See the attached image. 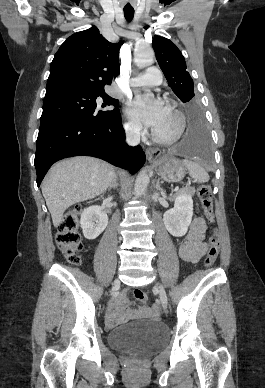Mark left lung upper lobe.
Instances as JSON below:
<instances>
[{"label":"left lung upper lobe","instance_id":"obj_1","mask_svg":"<svg viewBox=\"0 0 265 388\" xmlns=\"http://www.w3.org/2000/svg\"><path fill=\"white\" fill-rule=\"evenodd\" d=\"M158 64L163 71L169 86L179 99L186 103V108H199L193 100L194 86L190 74L186 71L185 58L169 39L155 35L152 40Z\"/></svg>","mask_w":265,"mask_h":388}]
</instances>
